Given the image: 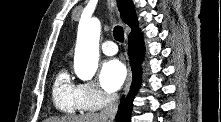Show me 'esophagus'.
<instances>
[{"label":"esophagus","mask_w":221,"mask_h":122,"mask_svg":"<svg viewBox=\"0 0 221 122\" xmlns=\"http://www.w3.org/2000/svg\"><path fill=\"white\" fill-rule=\"evenodd\" d=\"M131 79H132L131 70L128 69V75H127V79H126V83H125V88H124L125 95H127L128 91H129V88H130V85H131Z\"/></svg>","instance_id":"obj_1"}]
</instances>
